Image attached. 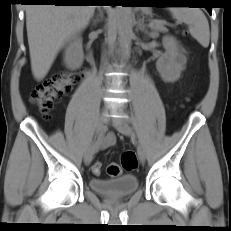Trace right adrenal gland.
Masks as SVG:
<instances>
[{"label": "right adrenal gland", "instance_id": "obj_1", "mask_svg": "<svg viewBox=\"0 0 231 231\" xmlns=\"http://www.w3.org/2000/svg\"><path fill=\"white\" fill-rule=\"evenodd\" d=\"M98 11H99V14L97 15V17H92V20H93V23L94 25H96L98 22H100V20L103 19V12L102 10L100 9V7H98Z\"/></svg>", "mask_w": 231, "mask_h": 231}]
</instances>
